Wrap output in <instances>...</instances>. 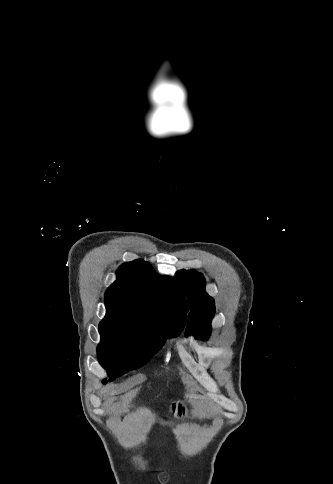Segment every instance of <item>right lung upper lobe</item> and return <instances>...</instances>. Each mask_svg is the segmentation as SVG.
<instances>
[{"mask_svg": "<svg viewBox=\"0 0 333 484\" xmlns=\"http://www.w3.org/2000/svg\"><path fill=\"white\" fill-rule=\"evenodd\" d=\"M117 280L105 292V320L131 322L145 330L178 332L186 323L187 305L174 278L159 276L143 260L122 264Z\"/></svg>", "mask_w": 333, "mask_h": 484, "instance_id": "right-lung-upper-lobe-1", "label": "right lung upper lobe"}]
</instances>
